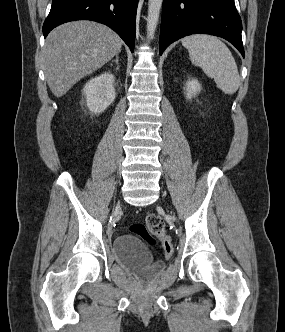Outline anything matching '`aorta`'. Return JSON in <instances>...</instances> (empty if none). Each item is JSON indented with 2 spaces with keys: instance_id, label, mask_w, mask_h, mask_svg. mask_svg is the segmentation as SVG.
Segmentation results:
<instances>
[{
  "instance_id": "aorta-1",
  "label": "aorta",
  "mask_w": 285,
  "mask_h": 332,
  "mask_svg": "<svg viewBox=\"0 0 285 332\" xmlns=\"http://www.w3.org/2000/svg\"><path fill=\"white\" fill-rule=\"evenodd\" d=\"M162 1L163 0H149L148 2L147 35L149 40L154 37L159 21Z\"/></svg>"
}]
</instances>
